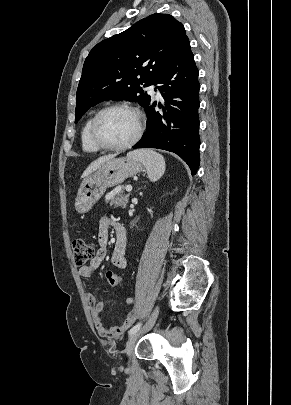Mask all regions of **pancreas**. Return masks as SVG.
<instances>
[{
	"label": "pancreas",
	"instance_id": "obj_1",
	"mask_svg": "<svg viewBox=\"0 0 291 405\" xmlns=\"http://www.w3.org/2000/svg\"><path fill=\"white\" fill-rule=\"evenodd\" d=\"M124 187L111 195L107 202L110 201V206L126 208L130 194H124Z\"/></svg>",
	"mask_w": 291,
	"mask_h": 405
}]
</instances>
